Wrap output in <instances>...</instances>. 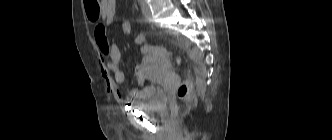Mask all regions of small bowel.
Segmentation results:
<instances>
[{"label": "small bowel", "instance_id": "small-bowel-1", "mask_svg": "<svg viewBox=\"0 0 332 140\" xmlns=\"http://www.w3.org/2000/svg\"><path fill=\"white\" fill-rule=\"evenodd\" d=\"M115 11L116 0H100L98 18H89L92 21L101 20L94 28V39L99 51L101 74L105 80L108 91L119 96L120 93L116 85L124 84L125 74L119 67L121 50L109 34V29L114 21ZM145 41L146 37L144 34H138L134 39V44L142 54H147L151 49L149 45L145 44ZM137 80L139 87L129 92V100L141 98L147 93L148 86L145 85V77L139 67L137 68Z\"/></svg>", "mask_w": 332, "mask_h": 140}]
</instances>
